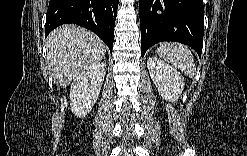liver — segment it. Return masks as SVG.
I'll list each match as a JSON object with an SVG mask.
<instances>
[{"label": "liver", "mask_w": 247, "mask_h": 156, "mask_svg": "<svg viewBox=\"0 0 247 156\" xmlns=\"http://www.w3.org/2000/svg\"><path fill=\"white\" fill-rule=\"evenodd\" d=\"M45 45L49 72L63 88L82 71L99 63L106 53V46L97 35L73 24L54 29Z\"/></svg>", "instance_id": "obj_1"}]
</instances>
